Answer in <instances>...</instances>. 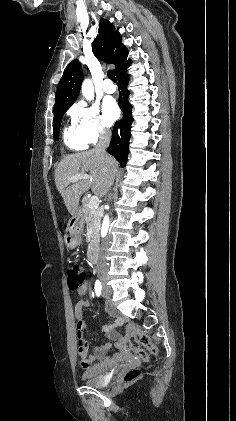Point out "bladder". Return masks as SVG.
Here are the masks:
<instances>
[{"label":"bladder","instance_id":"obj_1","mask_svg":"<svg viewBox=\"0 0 236 421\" xmlns=\"http://www.w3.org/2000/svg\"><path fill=\"white\" fill-rule=\"evenodd\" d=\"M83 383L89 386H101L102 377L100 374L97 373L89 374L84 377Z\"/></svg>","mask_w":236,"mask_h":421}]
</instances>
